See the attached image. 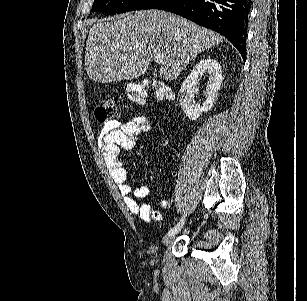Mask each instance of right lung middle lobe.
<instances>
[{"label": "right lung middle lobe", "instance_id": "right-lung-middle-lobe-1", "mask_svg": "<svg viewBox=\"0 0 307 301\" xmlns=\"http://www.w3.org/2000/svg\"><path fill=\"white\" fill-rule=\"evenodd\" d=\"M153 0H94L92 11L107 14H119L133 10H141Z\"/></svg>", "mask_w": 307, "mask_h": 301}]
</instances>
